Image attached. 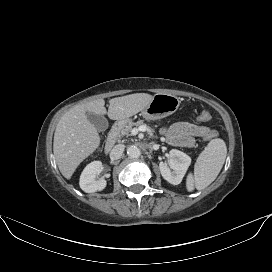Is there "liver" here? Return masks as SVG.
I'll return each instance as SVG.
<instances>
[{"instance_id": "obj_1", "label": "liver", "mask_w": 272, "mask_h": 272, "mask_svg": "<svg viewBox=\"0 0 272 272\" xmlns=\"http://www.w3.org/2000/svg\"><path fill=\"white\" fill-rule=\"evenodd\" d=\"M153 96L135 93L109 100L108 112L103 99L74 106L59 120L54 133L53 152L62 175L70 179L80 165L100 145L97 129L86 113L107 114L112 120H124L145 109Z\"/></svg>"}]
</instances>
